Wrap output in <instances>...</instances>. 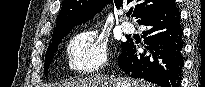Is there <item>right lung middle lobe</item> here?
Returning a JSON list of instances; mask_svg holds the SVG:
<instances>
[{
  "label": "right lung middle lobe",
  "mask_w": 205,
  "mask_h": 87,
  "mask_svg": "<svg viewBox=\"0 0 205 87\" xmlns=\"http://www.w3.org/2000/svg\"><path fill=\"white\" fill-rule=\"evenodd\" d=\"M66 36V35H64ZM59 37V38H56V39H53L52 43L49 45L48 49H47V53H46V56H45V63H44V72H45V75H47L48 73V69H49V66L52 62V59L54 57V54L56 53L57 51V48H58V44L60 42V40L64 37ZM123 44V43H122Z\"/></svg>",
  "instance_id": "right-lung-middle-lobe-1"
}]
</instances>
